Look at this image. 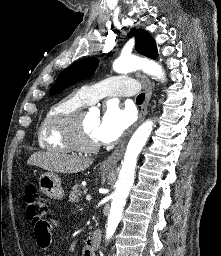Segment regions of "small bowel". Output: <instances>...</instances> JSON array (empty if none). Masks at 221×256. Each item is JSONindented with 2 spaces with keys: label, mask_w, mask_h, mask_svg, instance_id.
<instances>
[{
  "label": "small bowel",
  "mask_w": 221,
  "mask_h": 256,
  "mask_svg": "<svg viewBox=\"0 0 221 256\" xmlns=\"http://www.w3.org/2000/svg\"><path fill=\"white\" fill-rule=\"evenodd\" d=\"M57 226L58 222L53 220L47 221V225L43 229L38 230L35 228L36 242L38 246L46 252V256H52L50 253V247L52 243L51 232ZM83 256H93L92 251L87 246L84 248Z\"/></svg>",
  "instance_id": "small-bowel-1"
}]
</instances>
